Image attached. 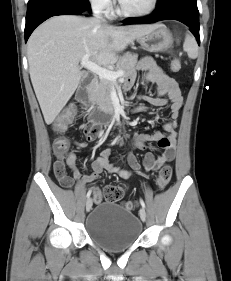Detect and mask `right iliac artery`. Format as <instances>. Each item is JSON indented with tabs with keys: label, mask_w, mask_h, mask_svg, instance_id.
<instances>
[{
	"label": "right iliac artery",
	"mask_w": 231,
	"mask_h": 281,
	"mask_svg": "<svg viewBox=\"0 0 231 281\" xmlns=\"http://www.w3.org/2000/svg\"><path fill=\"white\" fill-rule=\"evenodd\" d=\"M90 195H91V190H89V191H88V193H87L86 197H87V198H89V197H90Z\"/></svg>",
	"instance_id": "obj_1"
}]
</instances>
